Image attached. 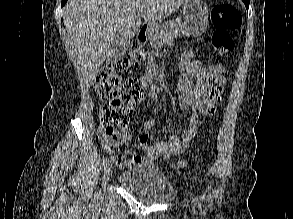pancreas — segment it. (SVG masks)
Segmentation results:
<instances>
[{"label":"pancreas","mask_w":293,"mask_h":219,"mask_svg":"<svg viewBox=\"0 0 293 219\" xmlns=\"http://www.w3.org/2000/svg\"><path fill=\"white\" fill-rule=\"evenodd\" d=\"M177 35H188V31L185 28V25L181 23V19L167 21L165 24L159 26L157 31L151 36L150 44L155 50L160 49L169 38L175 37ZM148 64V69H155L156 65L154 59L151 58Z\"/></svg>","instance_id":"cf45deb5"}]
</instances>
